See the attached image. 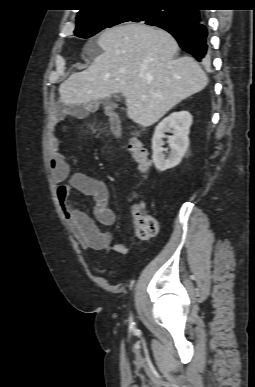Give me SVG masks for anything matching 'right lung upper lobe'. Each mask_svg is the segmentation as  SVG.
Wrapping results in <instances>:
<instances>
[{"label": "right lung upper lobe", "instance_id": "right-lung-upper-lobe-1", "mask_svg": "<svg viewBox=\"0 0 255 387\" xmlns=\"http://www.w3.org/2000/svg\"><path fill=\"white\" fill-rule=\"evenodd\" d=\"M83 9L77 15V20L83 17L123 6H161L171 5L175 7H183L196 3L197 0H82Z\"/></svg>", "mask_w": 255, "mask_h": 387}]
</instances>
